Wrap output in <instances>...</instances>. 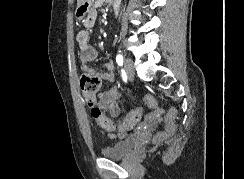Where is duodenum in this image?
<instances>
[{
  "mask_svg": "<svg viewBox=\"0 0 244 179\" xmlns=\"http://www.w3.org/2000/svg\"><path fill=\"white\" fill-rule=\"evenodd\" d=\"M113 13H114L115 15H117V14L119 13V10H114V9H113Z\"/></svg>",
  "mask_w": 244,
  "mask_h": 179,
  "instance_id": "410a0bca",
  "label": "duodenum"
}]
</instances>
